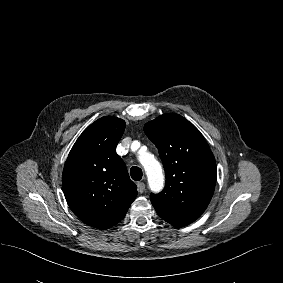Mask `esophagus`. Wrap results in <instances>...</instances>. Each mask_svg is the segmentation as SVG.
I'll return each instance as SVG.
<instances>
[{
	"label": "esophagus",
	"mask_w": 283,
	"mask_h": 283,
	"mask_svg": "<svg viewBox=\"0 0 283 283\" xmlns=\"http://www.w3.org/2000/svg\"><path fill=\"white\" fill-rule=\"evenodd\" d=\"M137 188H138V192L140 194H142L145 190V184L143 182H138L137 183Z\"/></svg>",
	"instance_id": "34e87169"
}]
</instances>
